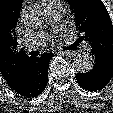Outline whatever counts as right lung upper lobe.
Returning <instances> with one entry per match:
<instances>
[{
	"instance_id": "cb5924a9",
	"label": "right lung upper lobe",
	"mask_w": 113,
	"mask_h": 113,
	"mask_svg": "<svg viewBox=\"0 0 113 113\" xmlns=\"http://www.w3.org/2000/svg\"><path fill=\"white\" fill-rule=\"evenodd\" d=\"M20 4L21 0H0V73L8 84L21 75L30 59L17 50L15 26Z\"/></svg>"
}]
</instances>
